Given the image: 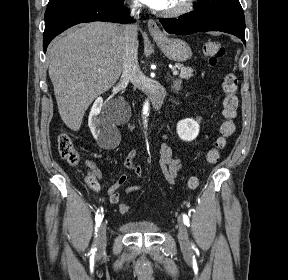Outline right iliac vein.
Masks as SVG:
<instances>
[{"label": "right iliac vein", "mask_w": 288, "mask_h": 280, "mask_svg": "<svg viewBox=\"0 0 288 280\" xmlns=\"http://www.w3.org/2000/svg\"><path fill=\"white\" fill-rule=\"evenodd\" d=\"M107 235H106V224L102 223L99 228V234L97 239L98 253H102L106 248Z\"/></svg>", "instance_id": "1"}]
</instances>
